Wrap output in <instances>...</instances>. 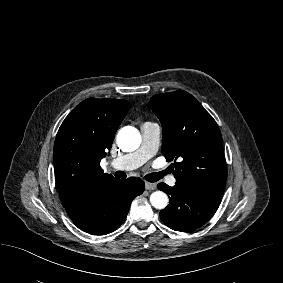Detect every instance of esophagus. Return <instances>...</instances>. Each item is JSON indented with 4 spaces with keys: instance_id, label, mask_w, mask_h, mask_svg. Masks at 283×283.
<instances>
[{
    "instance_id": "obj_1",
    "label": "esophagus",
    "mask_w": 283,
    "mask_h": 283,
    "mask_svg": "<svg viewBox=\"0 0 283 283\" xmlns=\"http://www.w3.org/2000/svg\"><path fill=\"white\" fill-rule=\"evenodd\" d=\"M145 188H146V190H155L156 189V184L155 183H150V182H145Z\"/></svg>"
}]
</instances>
